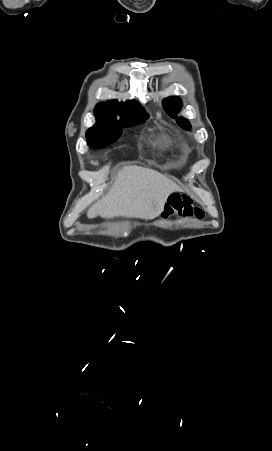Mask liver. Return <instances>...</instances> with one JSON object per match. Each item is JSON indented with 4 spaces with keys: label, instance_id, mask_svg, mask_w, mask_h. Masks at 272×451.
Masks as SVG:
<instances>
[{
    "label": "liver",
    "instance_id": "6515ba94",
    "mask_svg": "<svg viewBox=\"0 0 272 451\" xmlns=\"http://www.w3.org/2000/svg\"><path fill=\"white\" fill-rule=\"evenodd\" d=\"M172 192L181 188L155 170L126 166L117 172V178L106 196L87 212V218H141L153 220L164 212V204Z\"/></svg>",
    "mask_w": 272,
    "mask_h": 451
}]
</instances>
